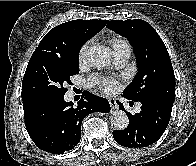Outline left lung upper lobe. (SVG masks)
<instances>
[{"label":"left lung upper lobe","mask_w":196,"mask_h":166,"mask_svg":"<svg viewBox=\"0 0 196 166\" xmlns=\"http://www.w3.org/2000/svg\"><path fill=\"white\" fill-rule=\"evenodd\" d=\"M107 28L127 38L132 45L138 74L123 91L132 101L156 97L174 103L175 75L168 51L155 29L141 19L111 20Z\"/></svg>","instance_id":"1"}]
</instances>
